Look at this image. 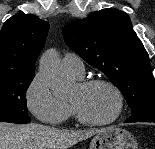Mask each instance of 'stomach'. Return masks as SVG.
Returning <instances> with one entry per match:
<instances>
[{"label":"stomach","mask_w":155,"mask_h":149,"mask_svg":"<svg viewBox=\"0 0 155 149\" xmlns=\"http://www.w3.org/2000/svg\"><path fill=\"white\" fill-rule=\"evenodd\" d=\"M90 149H138V144L134 136L127 130L108 127L92 138Z\"/></svg>","instance_id":"stomach-1"}]
</instances>
